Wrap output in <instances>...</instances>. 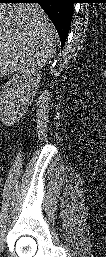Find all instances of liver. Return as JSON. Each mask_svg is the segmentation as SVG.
Wrapping results in <instances>:
<instances>
[{
  "mask_svg": "<svg viewBox=\"0 0 106 257\" xmlns=\"http://www.w3.org/2000/svg\"><path fill=\"white\" fill-rule=\"evenodd\" d=\"M57 33L38 4L0 5V74L44 66L53 56Z\"/></svg>",
  "mask_w": 106,
  "mask_h": 257,
  "instance_id": "6515ba94",
  "label": "liver"
}]
</instances>
